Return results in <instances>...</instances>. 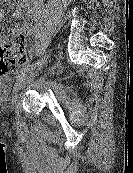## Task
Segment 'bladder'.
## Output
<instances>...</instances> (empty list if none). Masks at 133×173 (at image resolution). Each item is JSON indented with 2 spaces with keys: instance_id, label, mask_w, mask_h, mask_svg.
I'll use <instances>...</instances> for the list:
<instances>
[{
  "instance_id": "bladder-1",
  "label": "bladder",
  "mask_w": 133,
  "mask_h": 173,
  "mask_svg": "<svg viewBox=\"0 0 133 173\" xmlns=\"http://www.w3.org/2000/svg\"><path fill=\"white\" fill-rule=\"evenodd\" d=\"M10 86V79L8 77H4L0 79V95L5 96Z\"/></svg>"
}]
</instances>
